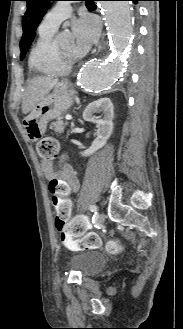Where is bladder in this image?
<instances>
[{
	"instance_id": "1",
	"label": "bladder",
	"mask_w": 183,
	"mask_h": 329,
	"mask_svg": "<svg viewBox=\"0 0 183 329\" xmlns=\"http://www.w3.org/2000/svg\"><path fill=\"white\" fill-rule=\"evenodd\" d=\"M106 258L95 251L81 252L73 255L70 267L83 277L94 275L106 265Z\"/></svg>"
}]
</instances>
